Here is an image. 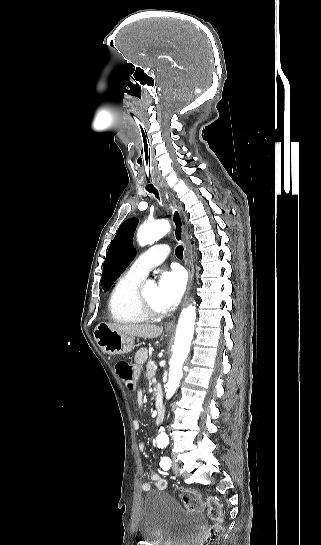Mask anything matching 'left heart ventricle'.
I'll return each mask as SVG.
<instances>
[{"label": "left heart ventricle", "mask_w": 321, "mask_h": 545, "mask_svg": "<svg viewBox=\"0 0 321 545\" xmlns=\"http://www.w3.org/2000/svg\"><path fill=\"white\" fill-rule=\"evenodd\" d=\"M141 298L148 307L160 311L156 304V288L154 286L143 287L141 291Z\"/></svg>", "instance_id": "1"}]
</instances>
